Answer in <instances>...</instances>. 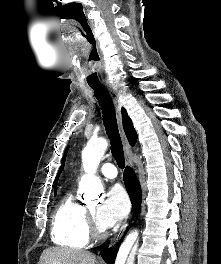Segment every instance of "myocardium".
<instances>
[{
  "label": "myocardium",
  "instance_id": "obj_1",
  "mask_svg": "<svg viewBox=\"0 0 221 264\" xmlns=\"http://www.w3.org/2000/svg\"><path fill=\"white\" fill-rule=\"evenodd\" d=\"M86 212L88 216L89 228L91 234L94 236H101L104 232V229L95 220L93 212H91L90 210H86Z\"/></svg>",
  "mask_w": 221,
  "mask_h": 264
}]
</instances>
